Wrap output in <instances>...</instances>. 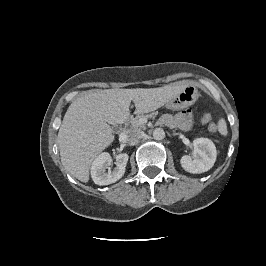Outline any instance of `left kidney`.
I'll return each instance as SVG.
<instances>
[{
	"instance_id": "obj_1",
	"label": "left kidney",
	"mask_w": 266,
	"mask_h": 266,
	"mask_svg": "<svg viewBox=\"0 0 266 266\" xmlns=\"http://www.w3.org/2000/svg\"><path fill=\"white\" fill-rule=\"evenodd\" d=\"M194 159L184 155L181 160L182 168L189 173H203L210 170L217 157L214 143L208 138H196L193 141Z\"/></svg>"
}]
</instances>
